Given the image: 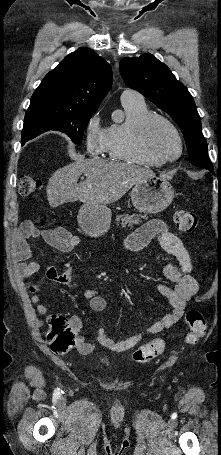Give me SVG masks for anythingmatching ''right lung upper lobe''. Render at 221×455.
<instances>
[{
  "mask_svg": "<svg viewBox=\"0 0 221 455\" xmlns=\"http://www.w3.org/2000/svg\"><path fill=\"white\" fill-rule=\"evenodd\" d=\"M112 84V69L93 50L81 47L67 55L42 80L30 106L96 111Z\"/></svg>",
  "mask_w": 221,
  "mask_h": 455,
  "instance_id": "right-lung-upper-lobe-1",
  "label": "right lung upper lobe"
}]
</instances>
